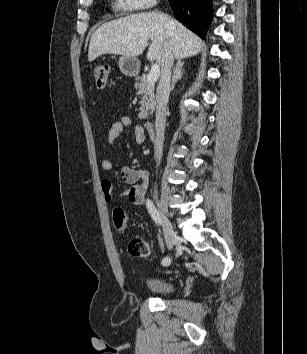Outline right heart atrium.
<instances>
[{"mask_svg":"<svg viewBox=\"0 0 307 354\" xmlns=\"http://www.w3.org/2000/svg\"><path fill=\"white\" fill-rule=\"evenodd\" d=\"M116 3L122 10L136 11L153 7L157 0H116Z\"/></svg>","mask_w":307,"mask_h":354,"instance_id":"obj_1","label":"right heart atrium"}]
</instances>
